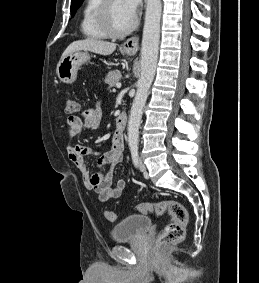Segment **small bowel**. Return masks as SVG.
I'll use <instances>...</instances> for the list:
<instances>
[{
  "label": "small bowel",
  "instance_id": "1",
  "mask_svg": "<svg viewBox=\"0 0 259 283\" xmlns=\"http://www.w3.org/2000/svg\"><path fill=\"white\" fill-rule=\"evenodd\" d=\"M101 118L102 109L99 103L84 111L82 116H69L67 118L69 136L72 138L81 133L83 129H96L100 124ZM65 148L69 160L80 171L86 189L94 191L100 201L105 202L109 199L119 198L123 194L126 188V181L119 179L113 185L112 178L113 167L123 160L124 139L122 135L114 134L111 147L107 151L94 150L86 145L73 144L71 142L67 143ZM85 156L98 157L99 166L107 168V171L105 173L91 172L84 159Z\"/></svg>",
  "mask_w": 259,
  "mask_h": 283
}]
</instances>
